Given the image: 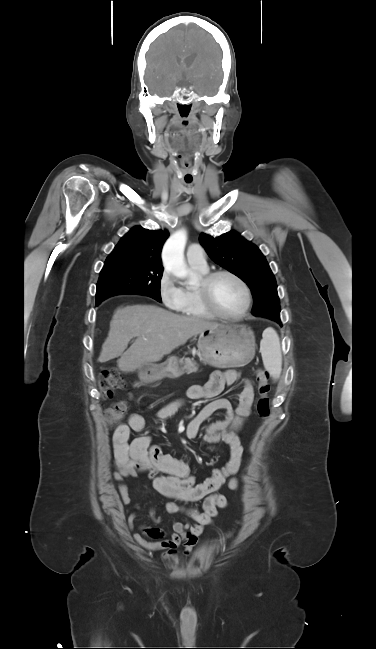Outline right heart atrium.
<instances>
[{"label": "right heart atrium", "instance_id": "right-heart-atrium-1", "mask_svg": "<svg viewBox=\"0 0 376 649\" xmlns=\"http://www.w3.org/2000/svg\"><path fill=\"white\" fill-rule=\"evenodd\" d=\"M158 293L161 301L170 309H178L183 298L182 288L177 285L175 277L168 270H163L158 281Z\"/></svg>", "mask_w": 376, "mask_h": 649}]
</instances>
